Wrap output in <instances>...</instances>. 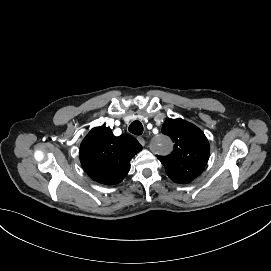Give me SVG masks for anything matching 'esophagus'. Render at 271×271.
I'll return each mask as SVG.
<instances>
[{
	"mask_svg": "<svg viewBox=\"0 0 271 271\" xmlns=\"http://www.w3.org/2000/svg\"><path fill=\"white\" fill-rule=\"evenodd\" d=\"M139 143L144 146L148 142V137L146 135H141L137 137Z\"/></svg>",
	"mask_w": 271,
	"mask_h": 271,
	"instance_id": "esophagus-1",
	"label": "esophagus"
}]
</instances>
